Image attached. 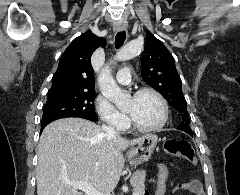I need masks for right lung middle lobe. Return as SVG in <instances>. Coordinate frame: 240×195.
Listing matches in <instances>:
<instances>
[{
    "label": "right lung middle lobe",
    "mask_w": 240,
    "mask_h": 195,
    "mask_svg": "<svg viewBox=\"0 0 240 195\" xmlns=\"http://www.w3.org/2000/svg\"><path fill=\"white\" fill-rule=\"evenodd\" d=\"M95 92H64L48 95L42 125L60 118L87 116L97 118Z\"/></svg>",
    "instance_id": "dd1d6c3e"
}]
</instances>
